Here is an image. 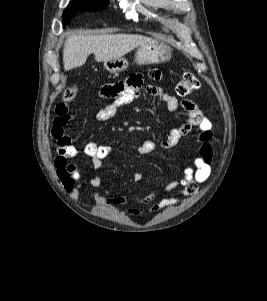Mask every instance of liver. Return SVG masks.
Instances as JSON below:
<instances>
[{"label": "liver", "instance_id": "liver-1", "mask_svg": "<svg viewBox=\"0 0 267 301\" xmlns=\"http://www.w3.org/2000/svg\"><path fill=\"white\" fill-rule=\"evenodd\" d=\"M152 40L150 37L133 34L71 35L63 49L64 69L71 70L84 65L92 53L97 62L118 59Z\"/></svg>", "mask_w": 267, "mask_h": 301}]
</instances>
